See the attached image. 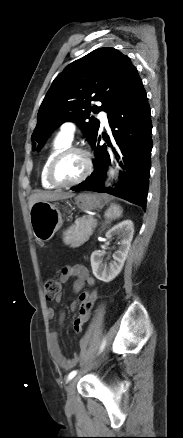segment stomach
Here are the masks:
<instances>
[{
  "label": "stomach",
  "mask_w": 183,
  "mask_h": 438,
  "mask_svg": "<svg viewBox=\"0 0 183 438\" xmlns=\"http://www.w3.org/2000/svg\"><path fill=\"white\" fill-rule=\"evenodd\" d=\"M75 204L85 210H92L103 204V198L97 194L82 193L75 197ZM33 235L39 242L49 241L63 224L59 208L48 201H39L29 211Z\"/></svg>",
  "instance_id": "stomach-1"
}]
</instances>
